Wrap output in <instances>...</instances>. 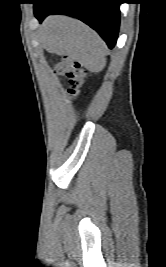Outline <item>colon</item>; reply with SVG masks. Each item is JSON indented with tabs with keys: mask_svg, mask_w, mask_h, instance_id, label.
<instances>
[{
	"mask_svg": "<svg viewBox=\"0 0 166 267\" xmlns=\"http://www.w3.org/2000/svg\"><path fill=\"white\" fill-rule=\"evenodd\" d=\"M56 71L67 79L69 95L72 98L76 97L84 82L85 70L77 61L64 58L57 64Z\"/></svg>",
	"mask_w": 166,
	"mask_h": 267,
	"instance_id": "1",
	"label": "colon"
}]
</instances>
